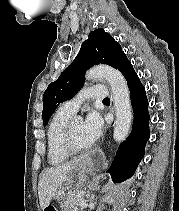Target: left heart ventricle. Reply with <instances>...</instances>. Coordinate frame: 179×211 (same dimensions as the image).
I'll return each instance as SVG.
<instances>
[{
	"label": "left heart ventricle",
	"instance_id": "left-heart-ventricle-1",
	"mask_svg": "<svg viewBox=\"0 0 179 211\" xmlns=\"http://www.w3.org/2000/svg\"><path fill=\"white\" fill-rule=\"evenodd\" d=\"M73 133L76 143L79 146H87L90 145L91 142L85 135L84 132V123L81 120H75L73 124Z\"/></svg>",
	"mask_w": 179,
	"mask_h": 211
}]
</instances>
